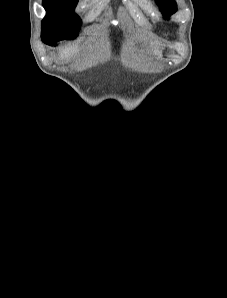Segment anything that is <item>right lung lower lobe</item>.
I'll return each instance as SVG.
<instances>
[{"instance_id": "1", "label": "right lung lower lobe", "mask_w": 227, "mask_h": 298, "mask_svg": "<svg viewBox=\"0 0 227 298\" xmlns=\"http://www.w3.org/2000/svg\"><path fill=\"white\" fill-rule=\"evenodd\" d=\"M42 41L48 45H51V46L55 45V43L52 41V39L47 38V37H42Z\"/></svg>"}]
</instances>
